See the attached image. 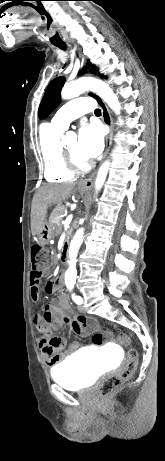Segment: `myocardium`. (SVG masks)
<instances>
[{
    "label": "myocardium",
    "instance_id": "1",
    "mask_svg": "<svg viewBox=\"0 0 165 461\" xmlns=\"http://www.w3.org/2000/svg\"><path fill=\"white\" fill-rule=\"evenodd\" d=\"M61 152L65 166L73 173H84L90 169V163L86 160L79 162L75 157L68 151L64 144H61Z\"/></svg>",
    "mask_w": 165,
    "mask_h": 461
}]
</instances>
